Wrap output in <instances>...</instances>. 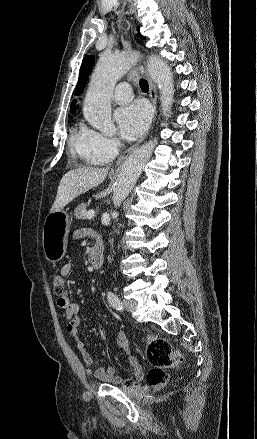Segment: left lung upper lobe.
<instances>
[{"mask_svg":"<svg viewBox=\"0 0 257 439\" xmlns=\"http://www.w3.org/2000/svg\"><path fill=\"white\" fill-rule=\"evenodd\" d=\"M140 35V32H139ZM94 64V56L89 55L84 58L82 62V66L79 73V80L76 86V94L80 95L83 91L84 86L86 85L89 74L91 73L92 67Z\"/></svg>","mask_w":257,"mask_h":439,"instance_id":"5c2ea615","label":"left lung upper lobe"}]
</instances>
